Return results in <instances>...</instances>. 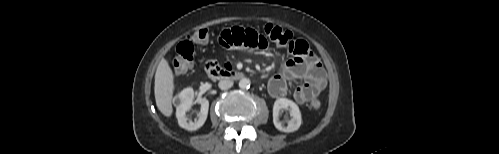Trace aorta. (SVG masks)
<instances>
[{
  "instance_id": "aorta-1",
  "label": "aorta",
  "mask_w": 499,
  "mask_h": 154,
  "mask_svg": "<svg viewBox=\"0 0 499 154\" xmlns=\"http://www.w3.org/2000/svg\"><path fill=\"white\" fill-rule=\"evenodd\" d=\"M239 87L241 89H248L250 87V80L248 78H242L239 81Z\"/></svg>"
}]
</instances>
